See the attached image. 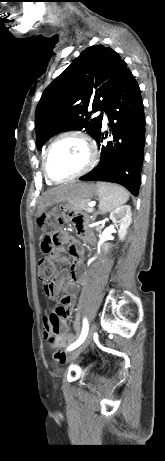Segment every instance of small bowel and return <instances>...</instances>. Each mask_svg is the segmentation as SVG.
Returning <instances> with one entry per match:
<instances>
[{
	"mask_svg": "<svg viewBox=\"0 0 165 461\" xmlns=\"http://www.w3.org/2000/svg\"><path fill=\"white\" fill-rule=\"evenodd\" d=\"M70 204H58L57 209L52 211L55 217H69L71 223L75 226L79 236L88 241H92V236L86 232L84 218L80 215L79 209H70ZM70 255L73 257V264L70 271L61 270L57 272L53 280L44 285L45 294L54 299L61 291L64 295L60 299V304L54 311L48 313L43 320L44 337L55 340L75 341V336L68 333L67 321L72 316L78 292L77 283L82 278V251L76 241L70 242ZM50 257L57 262H65L67 259L63 255L62 249H55L51 252ZM56 360L62 361L64 354L58 353V348L54 353Z\"/></svg>",
	"mask_w": 165,
	"mask_h": 461,
	"instance_id": "small-bowel-1",
	"label": "small bowel"
}]
</instances>
